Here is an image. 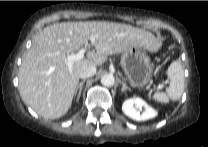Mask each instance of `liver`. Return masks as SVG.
<instances>
[{
	"label": "liver",
	"mask_w": 208,
	"mask_h": 147,
	"mask_svg": "<svg viewBox=\"0 0 208 147\" xmlns=\"http://www.w3.org/2000/svg\"><path fill=\"white\" fill-rule=\"evenodd\" d=\"M90 36H95V50L69 69L66 56L87 45ZM133 46L154 51L160 42L148 31L121 23L86 21L47 26L23 56L18 73L20 96L38 115L60 118L71 107L81 69L100 66L109 55L124 53Z\"/></svg>",
	"instance_id": "1"
}]
</instances>
